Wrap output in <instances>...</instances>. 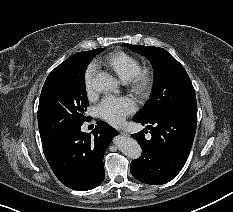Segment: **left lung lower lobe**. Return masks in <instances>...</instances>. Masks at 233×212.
<instances>
[{"label":"left lung lower lobe","instance_id":"1","mask_svg":"<svg viewBox=\"0 0 233 212\" xmlns=\"http://www.w3.org/2000/svg\"><path fill=\"white\" fill-rule=\"evenodd\" d=\"M133 121L147 124V129L133 134L140 143L142 156L131 162L130 171L137 180L152 185L171 181L181 171L189 156L197 125V116L173 111Z\"/></svg>","mask_w":233,"mask_h":212}]
</instances>
